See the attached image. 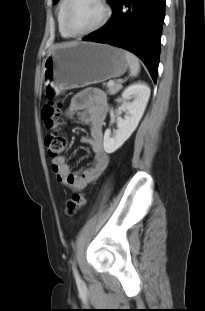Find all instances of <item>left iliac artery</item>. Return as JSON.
Wrapping results in <instances>:
<instances>
[{
	"label": "left iliac artery",
	"instance_id": "1",
	"mask_svg": "<svg viewBox=\"0 0 205 311\" xmlns=\"http://www.w3.org/2000/svg\"><path fill=\"white\" fill-rule=\"evenodd\" d=\"M73 274H74V277H75L76 281H77V282H80V281H81L80 275H79V273H78V270H77V268H76L75 263H73Z\"/></svg>",
	"mask_w": 205,
	"mask_h": 311
}]
</instances>
